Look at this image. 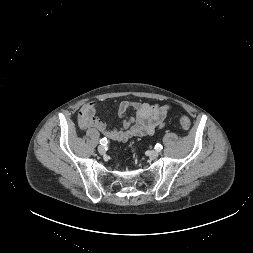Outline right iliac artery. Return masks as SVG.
I'll use <instances>...</instances> for the list:
<instances>
[{"mask_svg": "<svg viewBox=\"0 0 253 253\" xmlns=\"http://www.w3.org/2000/svg\"><path fill=\"white\" fill-rule=\"evenodd\" d=\"M107 143H108V141H107L106 138H102V139L100 140V144H101V145H106Z\"/></svg>", "mask_w": 253, "mask_h": 253, "instance_id": "obj_1", "label": "right iliac artery"}]
</instances>
